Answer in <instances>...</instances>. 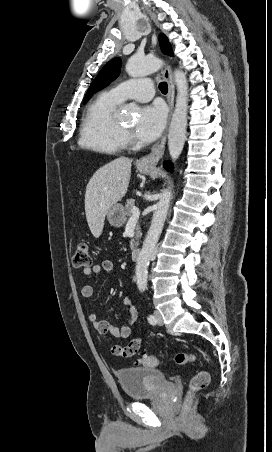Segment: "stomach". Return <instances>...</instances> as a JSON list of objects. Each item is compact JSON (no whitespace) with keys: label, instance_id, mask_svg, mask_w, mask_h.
<instances>
[{"label":"stomach","instance_id":"obj_1","mask_svg":"<svg viewBox=\"0 0 272 452\" xmlns=\"http://www.w3.org/2000/svg\"><path fill=\"white\" fill-rule=\"evenodd\" d=\"M137 170L141 173H150L151 168L137 164ZM107 220L114 227H121L126 221L125 208L121 204H114L107 212Z\"/></svg>","mask_w":272,"mask_h":452}]
</instances>
